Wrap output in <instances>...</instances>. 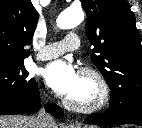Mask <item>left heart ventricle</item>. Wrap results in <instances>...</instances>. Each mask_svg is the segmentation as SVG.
<instances>
[{"label": "left heart ventricle", "mask_w": 142, "mask_h": 128, "mask_svg": "<svg viewBox=\"0 0 142 128\" xmlns=\"http://www.w3.org/2000/svg\"><path fill=\"white\" fill-rule=\"evenodd\" d=\"M96 96V89L94 84L81 76V82L76 90V92L70 96L74 100L80 102V103H88L92 101Z\"/></svg>", "instance_id": "b2bd125f"}]
</instances>
